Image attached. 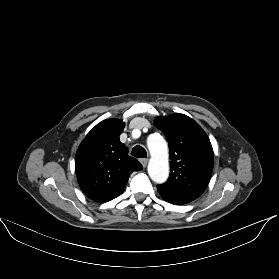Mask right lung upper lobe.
Masks as SVG:
<instances>
[{"mask_svg": "<svg viewBox=\"0 0 279 279\" xmlns=\"http://www.w3.org/2000/svg\"><path fill=\"white\" fill-rule=\"evenodd\" d=\"M123 129L121 120H104L88 133L77 150L75 171L79 186L97 202H108L121 195L130 174L143 168L120 142Z\"/></svg>", "mask_w": 279, "mask_h": 279, "instance_id": "right-lung-upper-lobe-1", "label": "right lung upper lobe"}]
</instances>
